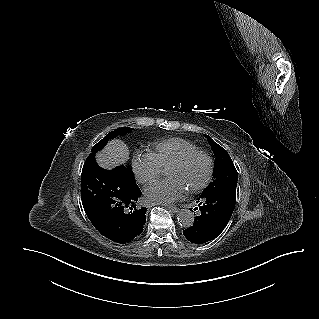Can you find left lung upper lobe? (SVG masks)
<instances>
[{
  "instance_id": "1",
  "label": "left lung upper lobe",
  "mask_w": 319,
  "mask_h": 319,
  "mask_svg": "<svg viewBox=\"0 0 319 319\" xmlns=\"http://www.w3.org/2000/svg\"><path fill=\"white\" fill-rule=\"evenodd\" d=\"M205 136L210 143L216 160L213 173V182H211L209 186L205 188L202 194H209L227 188L236 187L238 173L229 154L224 148L214 142L208 135Z\"/></svg>"
}]
</instances>
